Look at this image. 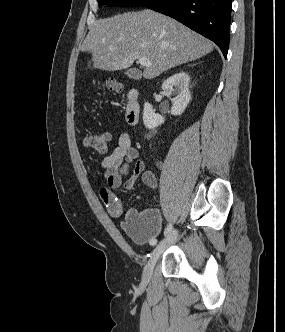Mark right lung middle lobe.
Here are the masks:
<instances>
[{"label":"right lung middle lobe","mask_w":285,"mask_h":332,"mask_svg":"<svg viewBox=\"0 0 285 332\" xmlns=\"http://www.w3.org/2000/svg\"><path fill=\"white\" fill-rule=\"evenodd\" d=\"M99 6H145L152 0H97Z\"/></svg>","instance_id":"right-lung-middle-lobe-1"}]
</instances>
